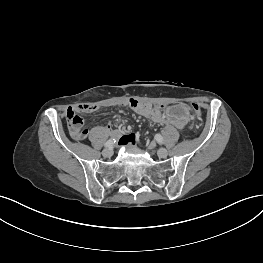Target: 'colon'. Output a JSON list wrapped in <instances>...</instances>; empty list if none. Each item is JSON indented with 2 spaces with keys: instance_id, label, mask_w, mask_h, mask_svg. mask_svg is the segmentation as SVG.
<instances>
[{
  "instance_id": "obj_1",
  "label": "colon",
  "mask_w": 263,
  "mask_h": 263,
  "mask_svg": "<svg viewBox=\"0 0 263 263\" xmlns=\"http://www.w3.org/2000/svg\"><path fill=\"white\" fill-rule=\"evenodd\" d=\"M191 106H192L194 118L197 122H199L201 118V109L197 104L194 103ZM82 114L83 113L78 112L76 110H70L66 116L69 132L71 136L76 140L84 139L87 134V131L83 129Z\"/></svg>"
}]
</instances>
